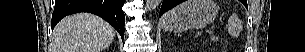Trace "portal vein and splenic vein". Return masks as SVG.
<instances>
[{"mask_svg":"<svg viewBox=\"0 0 305 52\" xmlns=\"http://www.w3.org/2000/svg\"><path fill=\"white\" fill-rule=\"evenodd\" d=\"M209 34L212 35V34H213V31H209Z\"/></svg>","mask_w":305,"mask_h":52,"instance_id":"1","label":"portal vein and splenic vein"}]
</instances>
